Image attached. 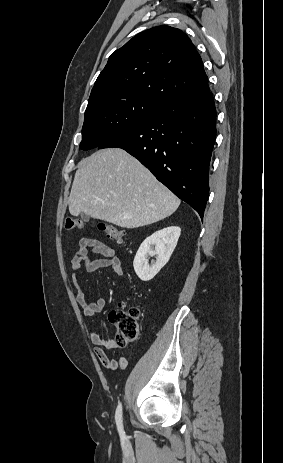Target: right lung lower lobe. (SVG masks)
<instances>
[{
	"mask_svg": "<svg viewBox=\"0 0 283 463\" xmlns=\"http://www.w3.org/2000/svg\"><path fill=\"white\" fill-rule=\"evenodd\" d=\"M215 137L216 109L208 90L160 105L98 149L126 150L203 218Z\"/></svg>",
	"mask_w": 283,
	"mask_h": 463,
	"instance_id": "obj_1",
	"label": "right lung lower lobe"
}]
</instances>
